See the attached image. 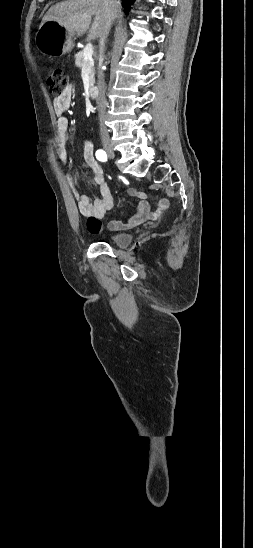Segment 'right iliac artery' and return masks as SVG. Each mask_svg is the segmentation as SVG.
<instances>
[{
  "label": "right iliac artery",
  "mask_w": 253,
  "mask_h": 548,
  "mask_svg": "<svg viewBox=\"0 0 253 548\" xmlns=\"http://www.w3.org/2000/svg\"><path fill=\"white\" fill-rule=\"evenodd\" d=\"M95 155L99 161H102V162L107 161V154L104 150L102 149L97 150Z\"/></svg>",
  "instance_id": "1"
}]
</instances>
